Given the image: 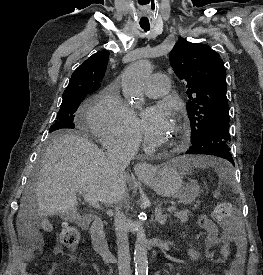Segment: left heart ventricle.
Wrapping results in <instances>:
<instances>
[{
	"label": "left heart ventricle",
	"mask_w": 263,
	"mask_h": 275,
	"mask_svg": "<svg viewBox=\"0 0 263 275\" xmlns=\"http://www.w3.org/2000/svg\"><path fill=\"white\" fill-rule=\"evenodd\" d=\"M176 127L174 123H171L165 134L163 135L160 144L167 145L171 143L176 137Z\"/></svg>",
	"instance_id": "1"
}]
</instances>
